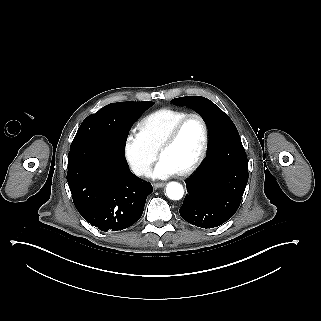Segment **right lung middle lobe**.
<instances>
[{
	"mask_svg": "<svg viewBox=\"0 0 321 321\" xmlns=\"http://www.w3.org/2000/svg\"><path fill=\"white\" fill-rule=\"evenodd\" d=\"M154 102H118L101 108L97 113L88 116L79 127L77 134L70 146L73 150L82 146L107 147L125 151V142L119 141L113 134V129L108 121L106 110L120 105L138 106L143 111L151 107Z\"/></svg>",
	"mask_w": 321,
	"mask_h": 321,
	"instance_id": "obj_1",
	"label": "right lung middle lobe"
}]
</instances>
